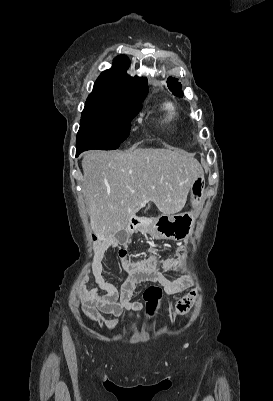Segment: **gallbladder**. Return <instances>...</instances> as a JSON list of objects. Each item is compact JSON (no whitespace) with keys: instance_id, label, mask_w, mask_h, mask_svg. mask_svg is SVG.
Segmentation results:
<instances>
[{"instance_id":"obj_1","label":"gallbladder","mask_w":273,"mask_h":401,"mask_svg":"<svg viewBox=\"0 0 273 401\" xmlns=\"http://www.w3.org/2000/svg\"><path fill=\"white\" fill-rule=\"evenodd\" d=\"M129 235V234H128ZM116 239H118L119 243H121V245H123V243L125 245L129 244V241L126 240L127 239V233H126V228L125 227H119L118 228V233H116ZM130 239V238H129ZM132 239V238H131ZM131 243V242H130ZM133 243V242H132Z\"/></svg>"}]
</instances>
